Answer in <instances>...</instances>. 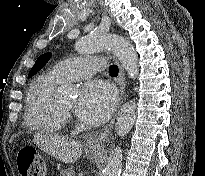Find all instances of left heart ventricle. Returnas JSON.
Returning a JSON list of instances; mask_svg holds the SVG:
<instances>
[{"label": "left heart ventricle", "instance_id": "1", "mask_svg": "<svg viewBox=\"0 0 205 176\" xmlns=\"http://www.w3.org/2000/svg\"><path fill=\"white\" fill-rule=\"evenodd\" d=\"M60 105L67 110H72L75 107V101L61 102Z\"/></svg>", "mask_w": 205, "mask_h": 176}]
</instances>
